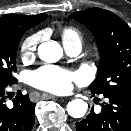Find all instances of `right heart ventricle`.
Instances as JSON below:
<instances>
[{
  "mask_svg": "<svg viewBox=\"0 0 131 131\" xmlns=\"http://www.w3.org/2000/svg\"><path fill=\"white\" fill-rule=\"evenodd\" d=\"M62 41L63 43H68L72 41H80L81 42V36L77 29L73 27H67L63 29L62 31Z\"/></svg>",
  "mask_w": 131,
  "mask_h": 131,
  "instance_id": "obj_1",
  "label": "right heart ventricle"
}]
</instances>
